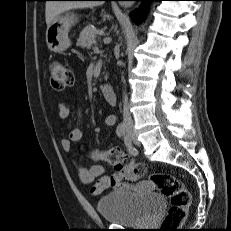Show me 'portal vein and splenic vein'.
<instances>
[{"label":"portal vein and splenic vein","mask_w":231,"mask_h":231,"mask_svg":"<svg viewBox=\"0 0 231 231\" xmlns=\"http://www.w3.org/2000/svg\"><path fill=\"white\" fill-rule=\"evenodd\" d=\"M99 48L97 46L94 47V52H98Z\"/></svg>","instance_id":"obj_1"}]
</instances>
